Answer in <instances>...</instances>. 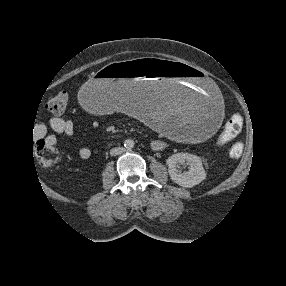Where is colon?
Here are the masks:
<instances>
[{
  "mask_svg": "<svg viewBox=\"0 0 286 286\" xmlns=\"http://www.w3.org/2000/svg\"><path fill=\"white\" fill-rule=\"evenodd\" d=\"M69 97L67 93L60 92L51 98L47 103V109L53 115H64L68 109ZM243 126V118L240 114H234L226 123L224 130L219 138V144L225 145L234 140L241 132ZM242 146L238 145L231 149L234 154L239 153ZM34 152L39 164L44 168H52L58 159V152L44 139H39L35 142Z\"/></svg>",
  "mask_w": 286,
  "mask_h": 286,
  "instance_id": "colon-1",
  "label": "colon"
}]
</instances>
